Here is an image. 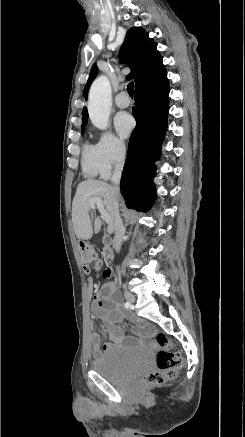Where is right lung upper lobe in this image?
<instances>
[{"label":"right lung upper lobe","instance_id":"1","mask_svg":"<svg viewBox=\"0 0 245 437\" xmlns=\"http://www.w3.org/2000/svg\"><path fill=\"white\" fill-rule=\"evenodd\" d=\"M157 43L148 37V33L141 27H132L126 35L119 56L121 62L128 63L131 72L129 79H134L135 90L157 84L167 79V72L162 63V56L156 49ZM98 73L96 64H93L83 95L87 99L88 90ZM88 121V111H82V126Z\"/></svg>","mask_w":245,"mask_h":437}]
</instances>
